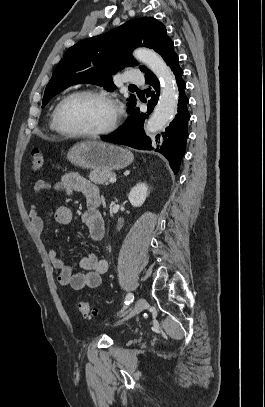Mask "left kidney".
Here are the masks:
<instances>
[{"label":"left kidney","mask_w":265,"mask_h":407,"mask_svg":"<svg viewBox=\"0 0 265 407\" xmlns=\"http://www.w3.org/2000/svg\"><path fill=\"white\" fill-rule=\"evenodd\" d=\"M147 195L148 191L146 184L138 183L131 189L128 199L132 206L140 207L145 202Z\"/></svg>","instance_id":"5707ae66"}]
</instances>
